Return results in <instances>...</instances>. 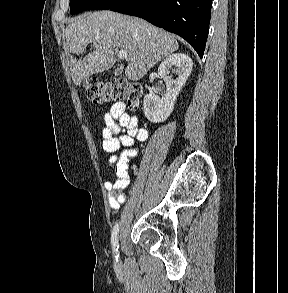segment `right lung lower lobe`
Listing matches in <instances>:
<instances>
[{
	"mask_svg": "<svg viewBox=\"0 0 288 293\" xmlns=\"http://www.w3.org/2000/svg\"><path fill=\"white\" fill-rule=\"evenodd\" d=\"M211 5L212 0H122L109 10L141 17L181 36L202 58L209 31Z\"/></svg>",
	"mask_w": 288,
	"mask_h": 293,
	"instance_id": "98d812e1",
	"label": "right lung lower lobe"
}]
</instances>
